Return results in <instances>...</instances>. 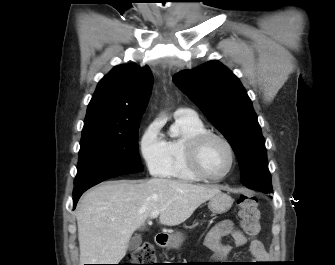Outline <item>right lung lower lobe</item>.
Listing matches in <instances>:
<instances>
[{
  "label": "right lung lower lobe",
  "mask_w": 335,
  "mask_h": 265,
  "mask_svg": "<svg viewBox=\"0 0 335 265\" xmlns=\"http://www.w3.org/2000/svg\"><path fill=\"white\" fill-rule=\"evenodd\" d=\"M100 182H102V181H100ZM100 182H97V183L88 185V186L83 187V188H81V189H79V190H77V191H74V192H73V203H74V208H75V206H76V204H77L79 198L81 197V195H82L87 189H89L90 187H92V186H94V185H96V184H98V183H100Z\"/></svg>",
  "instance_id": "right-lung-lower-lobe-1"
}]
</instances>
